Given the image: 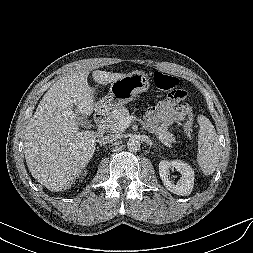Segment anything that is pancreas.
I'll list each match as a JSON object with an SVG mask.
<instances>
[{
  "label": "pancreas",
  "instance_id": "obj_1",
  "mask_svg": "<svg viewBox=\"0 0 253 253\" xmlns=\"http://www.w3.org/2000/svg\"><path fill=\"white\" fill-rule=\"evenodd\" d=\"M128 116L130 115L126 107L121 106L118 109H115L112 111V115L107 124V130L113 134L120 133L122 130L119 128L118 123L121 118ZM154 133L157 139L167 147H171V144L175 142L174 135L162 127H158Z\"/></svg>",
  "mask_w": 253,
  "mask_h": 253
}]
</instances>
